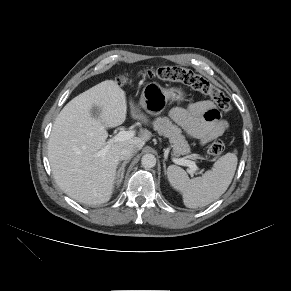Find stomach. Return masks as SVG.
<instances>
[{"label": "stomach", "instance_id": "stomach-1", "mask_svg": "<svg viewBox=\"0 0 291 291\" xmlns=\"http://www.w3.org/2000/svg\"><path fill=\"white\" fill-rule=\"evenodd\" d=\"M185 92L180 88H163L156 82H150L143 88L139 106L151 115L161 114L168 102L181 103Z\"/></svg>", "mask_w": 291, "mask_h": 291}]
</instances>
